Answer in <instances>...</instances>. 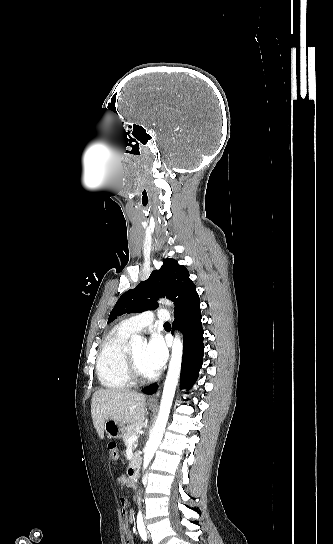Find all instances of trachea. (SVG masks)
I'll return each instance as SVG.
<instances>
[{"label": "trachea", "instance_id": "1", "mask_svg": "<svg viewBox=\"0 0 333 544\" xmlns=\"http://www.w3.org/2000/svg\"><path fill=\"white\" fill-rule=\"evenodd\" d=\"M164 326H171L169 322H165Z\"/></svg>", "mask_w": 333, "mask_h": 544}]
</instances>
